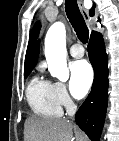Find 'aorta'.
Returning a JSON list of instances; mask_svg holds the SVG:
<instances>
[{
	"mask_svg": "<svg viewBox=\"0 0 119 141\" xmlns=\"http://www.w3.org/2000/svg\"><path fill=\"white\" fill-rule=\"evenodd\" d=\"M45 56L51 76L66 81L69 70L66 63V29L63 23L56 22L49 28L45 37Z\"/></svg>",
	"mask_w": 119,
	"mask_h": 141,
	"instance_id": "aorta-1",
	"label": "aorta"
}]
</instances>
